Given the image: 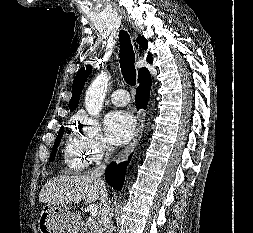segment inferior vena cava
I'll return each instance as SVG.
<instances>
[{
  "label": "inferior vena cava",
  "mask_w": 253,
  "mask_h": 233,
  "mask_svg": "<svg viewBox=\"0 0 253 233\" xmlns=\"http://www.w3.org/2000/svg\"><path fill=\"white\" fill-rule=\"evenodd\" d=\"M108 153L106 154L105 161L109 160L111 153L114 151L113 147H106ZM106 165L98 164L96 168L91 172V175L96 178L102 185H104L103 180L101 179V175L104 173ZM100 208H101V220L103 222L105 233H113L114 227L112 223V214L110 212V206L108 203V193L106 188L104 187L100 196Z\"/></svg>",
  "instance_id": "602c4592"
}]
</instances>
